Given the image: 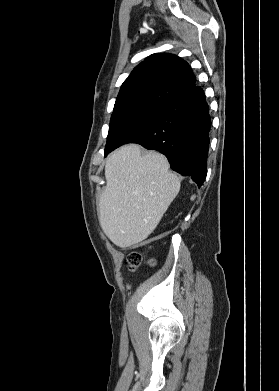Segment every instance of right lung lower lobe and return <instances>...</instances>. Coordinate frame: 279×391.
Listing matches in <instances>:
<instances>
[{"label": "right lung lower lobe", "mask_w": 279, "mask_h": 391, "mask_svg": "<svg viewBox=\"0 0 279 391\" xmlns=\"http://www.w3.org/2000/svg\"><path fill=\"white\" fill-rule=\"evenodd\" d=\"M211 118L205 94L194 87L166 103L153 121L126 143L162 152L171 168L200 187L206 174Z\"/></svg>", "instance_id": "1"}]
</instances>
